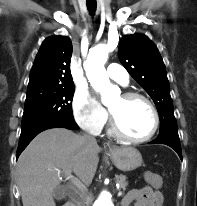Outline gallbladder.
I'll list each match as a JSON object with an SVG mask.
<instances>
[{
    "label": "gallbladder",
    "mask_w": 197,
    "mask_h": 206,
    "mask_svg": "<svg viewBox=\"0 0 197 206\" xmlns=\"http://www.w3.org/2000/svg\"><path fill=\"white\" fill-rule=\"evenodd\" d=\"M54 197L57 199V200H62L65 198V194H64V191L62 188L58 187L54 190Z\"/></svg>",
    "instance_id": "gallbladder-1"
}]
</instances>
